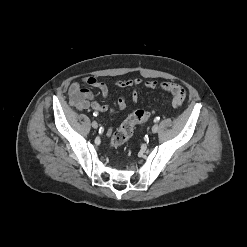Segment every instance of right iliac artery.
Segmentation results:
<instances>
[{
  "label": "right iliac artery",
  "mask_w": 247,
  "mask_h": 247,
  "mask_svg": "<svg viewBox=\"0 0 247 247\" xmlns=\"http://www.w3.org/2000/svg\"><path fill=\"white\" fill-rule=\"evenodd\" d=\"M94 116H97V113H94Z\"/></svg>",
  "instance_id": "obj_1"
}]
</instances>
